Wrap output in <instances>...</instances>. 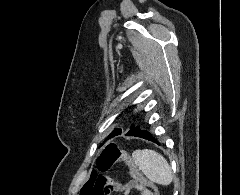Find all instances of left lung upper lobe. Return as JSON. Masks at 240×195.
<instances>
[{
	"label": "left lung upper lobe",
	"instance_id": "obj_1",
	"mask_svg": "<svg viewBox=\"0 0 240 195\" xmlns=\"http://www.w3.org/2000/svg\"><path fill=\"white\" fill-rule=\"evenodd\" d=\"M120 133H121V129L115 128L114 131L111 133V136H115V135L120 134Z\"/></svg>",
	"mask_w": 240,
	"mask_h": 195
}]
</instances>
